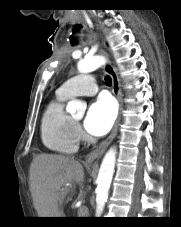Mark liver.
<instances>
[{
	"mask_svg": "<svg viewBox=\"0 0 181 227\" xmlns=\"http://www.w3.org/2000/svg\"><path fill=\"white\" fill-rule=\"evenodd\" d=\"M83 181V166L73 157L35 156L30 166V190L39 217H62L60 203L73 184Z\"/></svg>",
	"mask_w": 181,
	"mask_h": 227,
	"instance_id": "1",
	"label": "liver"
}]
</instances>
